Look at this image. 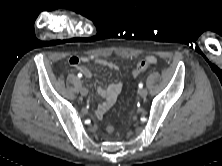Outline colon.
<instances>
[{"label":"colon","instance_id":"5ec220e1","mask_svg":"<svg viewBox=\"0 0 222 166\" xmlns=\"http://www.w3.org/2000/svg\"><path fill=\"white\" fill-rule=\"evenodd\" d=\"M149 65H150V63L146 59L138 62V64L136 65L135 69L133 70V73H132L133 76L137 77L141 73L145 72L148 69ZM107 129L109 131L113 130L112 126H108Z\"/></svg>","mask_w":222,"mask_h":166}]
</instances>
